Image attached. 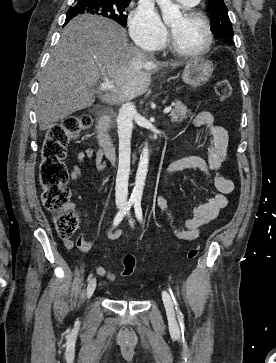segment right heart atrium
Instances as JSON below:
<instances>
[{
	"label": "right heart atrium",
	"mask_w": 276,
	"mask_h": 363,
	"mask_svg": "<svg viewBox=\"0 0 276 363\" xmlns=\"http://www.w3.org/2000/svg\"><path fill=\"white\" fill-rule=\"evenodd\" d=\"M130 32L137 45L145 49H160L167 40L168 33L153 7L138 6L129 19Z\"/></svg>",
	"instance_id": "right-heart-atrium-1"
}]
</instances>
